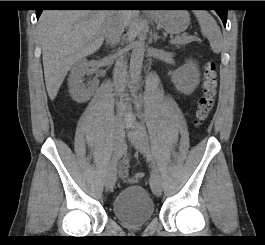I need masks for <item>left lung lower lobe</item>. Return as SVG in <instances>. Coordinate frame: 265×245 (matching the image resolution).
Segmentation results:
<instances>
[{
    "instance_id": "obj_1",
    "label": "left lung lower lobe",
    "mask_w": 265,
    "mask_h": 245,
    "mask_svg": "<svg viewBox=\"0 0 265 245\" xmlns=\"http://www.w3.org/2000/svg\"><path fill=\"white\" fill-rule=\"evenodd\" d=\"M186 2V1H185ZM160 4L163 5H170V6H177L179 5V1H160ZM217 14L220 16V18L223 21V24L226 26L227 21V9H217L215 10Z\"/></svg>"
}]
</instances>
